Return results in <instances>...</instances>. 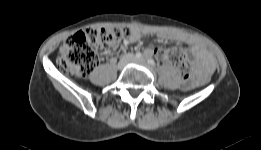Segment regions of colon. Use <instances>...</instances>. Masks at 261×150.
<instances>
[{
  "label": "colon",
  "instance_id": "obj_1",
  "mask_svg": "<svg viewBox=\"0 0 261 150\" xmlns=\"http://www.w3.org/2000/svg\"><path fill=\"white\" fill-rule=\"evenodd\" d=\"M131 34L130 27L87 28L78 31L61 46L57 65L67 74L85 77L97 66L100 53L115 50ZM154 54L172 62L182 77H188L189 61L180 49L157 48Z\"/></svg>",
  "mask_w": 261,
  "mask_h": 150
}]
</instances>
